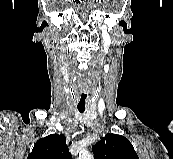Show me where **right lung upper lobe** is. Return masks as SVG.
<instances>
[{
	"instance_id": "1",
	"label": "right lung upper lobe",
	"mask_w": 173,
	"mask_h": 159,
	"mask_svg": "<svg viewBox=\"0 0 173 159\" xmlns=\"http://www.w3.org/2000/svg\"><path fill=\"white\" fill-rule=\"evenodd\" d=\"M27 159H71V154L65 137L51 134L36 142Z\"/></svg>"
}]
</instances>
